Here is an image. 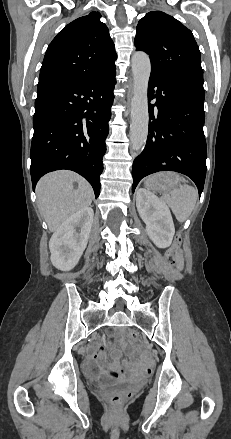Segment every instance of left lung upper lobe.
Listing matches in <instances>:
<instances>
[{"label":"left lung upper lobe","instance_id":"obj_1","mask_svg":"<svg viewBox=\"0 0 231 439\" xmlns=\"http://www.w3.org/2000/svg\"><path fill=\"white\" fill-rule=\"evenodd\" d=\"M136 50L151 60V75L183 77L203 82L200 51L192 32L174 17L161 12L140 19L134 40Z\"/></svg>","mask_w":231,"mask_h":439}]
</instances>
